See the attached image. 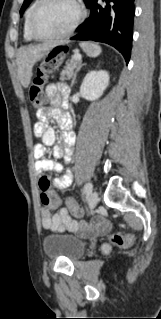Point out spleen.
Listing matches in <instances>:
<instances>
[{
	"label": "spleen",
	"instance_id": "spleen-1",
	"mask_svg": "<svg viewBox=\"0 0 161 319\" xmlns=\"http://www.w3.org/2000/svg\"><path fill=\"white\" fill-rule=\"evenodd\" d=\"M80 46L89 57H97L102 51L101 47L95 43L83 42Z\"/></svg>",
	"mask_w": 161,
	"mask_h": 319
}]
</instances>
